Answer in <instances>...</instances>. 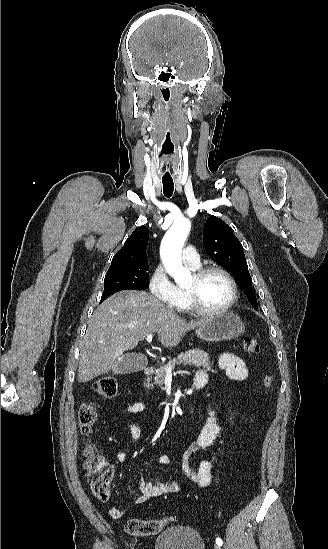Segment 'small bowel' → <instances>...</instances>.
<instances>
[{"instance_id": "small-bowel-1", "label": "small bowel", "mask_w": 328, "mask_h": 549, "mask_svg": "<svg viewBox=\"0 0 328 549\" xmlns=\"http://www.w3.org/2000/svg\"><path fill=\"white\" fill-rule=\"evenodd\" d=\"M218 367L225 370L229 378L237 381L245 380L248 377V368L245 362L238 356L230 353H223L218 358ZM197 376H205L203 370H198ZM145 410V405L142 402H135L125 408V413H139ZM128 424L132 429V442H136L139 437V432L135 425L128 420ZM221 427L217 418V412L214 408L209 409L208 419L196 439L191 442L182 452V471L185 477L195 486L205 488L212 482V462L209 453L215 443V439L220 433ZM201 453V457L195 468L191 463V458L195 453ZM116 458L123 462L128 458V453L125 451H117ZM169 455H160L156 459L159 465H167L170 463ZM101 462L107 464V458L101 457ZM181 488L174 481H162L157 478L151 480H142L139 484V496L135 499L136 504H142L151 498L166 494L179 493ZM114 516L119 515L120 511L112 512Z\"/></svg>"}]
</instances>
